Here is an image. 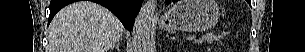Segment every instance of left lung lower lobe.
<instances>
[{"instance_id":"left-lung-lower-lobe-1","label":"left lung lower lobe","mask_w":305,"mask_h":52,"mask_svg":"<svg viewBox=\"0 0 305 52\" xmlns=\"http://www.w3.org/2000/svg\"><path fill=\"white\" fill-rule=\"evenodd\" d=\"M171 0H166V3H170ZM172 2H176V0H172Z\"/></svg>"}]
</instances>
